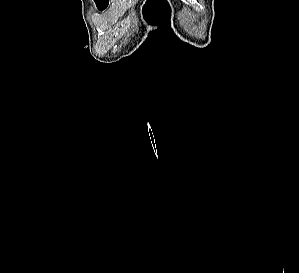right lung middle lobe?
I'll list each match as a JSON object with an SVG mask.
<instances>
[{
	"label": "right lung middle lobe",
	"mask_w": 299,
	"mask_h": 273,
	"mask_svg": "<svg viewBox=\"0 0 299 273\" xmlns=\"http://www.w3.org/2000/svg\"><path fill=\"white\" fill-rule=\"evenodd\" d=\"M99 10H103L108 6L109 0H95Z\"/></svg>",
	"instance_id": "dd1d6c3e"
}]
</instances>
